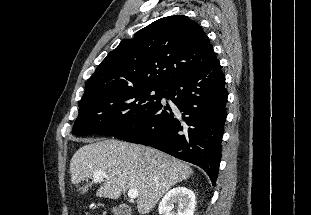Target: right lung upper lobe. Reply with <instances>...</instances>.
Returning <instances> with one entry per match:
<instances>
[{
  "label": "right lung upper lobe",
  "instance_id": "1",
  "mask_svg": "<svg viewBox=\"0 0 311 215\" xmlns=\"http://www.w3.org/2000/svg\"><path fill=\"white\" fill-rule=\"evenodd\" d=\"M216 60L197 22L184 15L164 17L109 53L87 81L82 99L135 87H164Z\"/></svg>",
  "mask_w": 311,
  "mask_h": 215
}]
</instances>
